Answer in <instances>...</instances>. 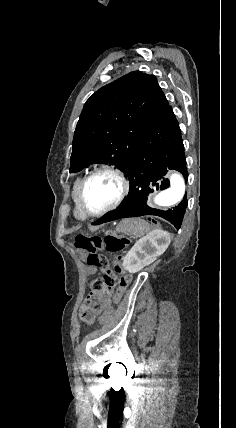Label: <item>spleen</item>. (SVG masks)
Listing matches in <instances>:
<instances>
[{"mask_svg": "<svg viewBox=\"0 0 236 428\" xmlns=\"http://www.w3.org/2000/svg\"><path fill=\"white\" fill-rule=\"evenodd\" d=\"M117 230L118 232L127 234V236L141 238V236H145L149 232L150 228L148 222L141 220V218H125V220L120 222Z\"/></svg>", "mask_w": 236, "mask_h": 428, "instance_id": "spleen-1", "label": "spleen"}]
</instances>
